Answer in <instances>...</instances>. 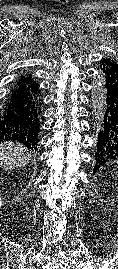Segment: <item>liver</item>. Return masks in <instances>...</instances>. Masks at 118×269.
<instances>
[{
	"mask_svg": "<svg viewBox=\"0 0 118 269\" xmlns=\"http://www.w3.org/2000/svg\"><path fill=\"white\" fill-rule=\"evenodd\" d=\"M31 154L19 143L4 142L0 145V168L11 170L29 163Z\"/></svg>",
	"mask_w": 118,
	"mask_h": 269,
	"instance_id": "obj_1",
	"label": "liver"
}]
</instances>
